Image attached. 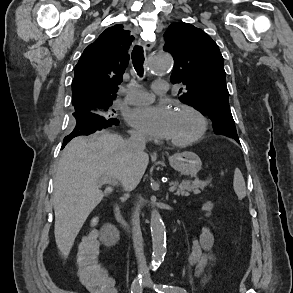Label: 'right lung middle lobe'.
<instances>
[{"instance_id": "right-lung-middle-lobe-1", "label": "right lung middle lobe", "mask_w": 293, "mask_h": 293, "mask_svg": "<svg viewBox=\"0 0 293 293\" xmlns=\"http://www.w3.org/2000/svg\"><path fill=\"white\" fill-rule=\"evenodd\" d=\"M93 107L96 114L106 118H112L114 116L115 111L112 109V101L95 102Z\"/></svg>"}]
</instances>
